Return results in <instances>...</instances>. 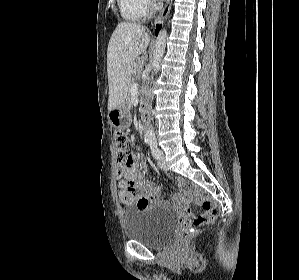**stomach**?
<instances>
[{"mask_svg":"<svg viewBox=\"0 0 299 280\" xmlns=\"http://www.w3.org/2000/svg\"><path fill=\"white\" fill-rule=\"evenodd\" d=\"M108 118L111 125L117 129H125L131 124V117L129 114V106L123 103L117 108L109 111Z\"/></svg>","mask_w":299,"mask_h":280,"instance_id":"0dacf381","label":"stomach"}]
</instances>
